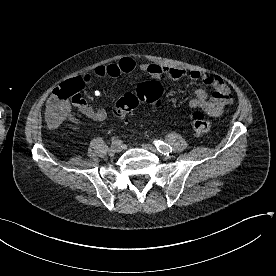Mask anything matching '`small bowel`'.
Instances as JSON below:
<instances>
[{"label": "small bowel", "instance_id": "obj_1", "mask_svg": "<svg viewBox=\"0 0 276 276\" xmlns=\"http://www.w3.org/2000/svg\"><path fill=\"white\" fill-rule=\"evenodd\" d=\"M148 74L154 79L165 78L168 80H179L183 77H188L191 80H200L205 85L213 89V94L210 98L204 89L197 88L193 91L194 98L189 103V108L201 109L210 116H219L223 113L226 105L232 102V94L229 87L221 77L211 73L200 71H185L178 68L162 66L156 63H141L137 65L136 61L131 57H124L117 63L108 65H99L92 71L84 73L78 77L84 84H89L93 80H104L106 78H117L122 74H129L136 69ZM99 91H95V95H99ZM86 118L93 121H103L107 118V111L103 107H93L86 100L79 98L75 103H72ZM50 106V99L47 102V108ZM69 119L74 123H79V120L72 114H68Z\"/></svg>", "mask_w": 276, "mask_h": 276}]
</instances>
